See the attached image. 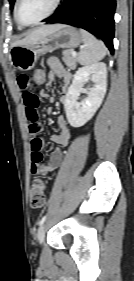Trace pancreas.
Instances as JSON below:
<instances>
[{
    "label": "pancreas",
    "mask_w": 134,
    "mask_h": 281,
    "mask_svg": "<svg viewBox=\"0 0 134 281\" xmlns=\"http://www.w3.org/2000/svg\"><path fill=\"white\" fill-rule=\"evenodd\" d=\"M72 50L63 51V62L70 68L75 69L77 66V58L72 56Z\"/></svg>",
    "instance_id": "obj_1"
}]
</instances>
